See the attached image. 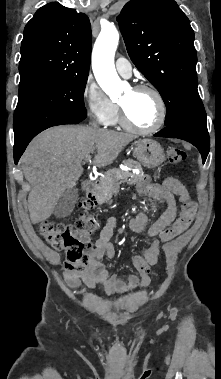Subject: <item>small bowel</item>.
Listing matches in <instances>:
<instances>
[{
	"mask_svg": "<svg viewBox=\"0 0 221 379\" xmlns=\"http://www.w3.org/2000/svg\"><path fill=\"white\" fill-rule=\"evenodd\" d=\"M137 192L145 197L164 200L167 204L165 212L149 226L147 216L144 213L137 214L130 221L131 231H146L151 238L143 254L132 257V263L139 272L140 278L133 274H127L125 277L119 274H111L102 262L104 258L112 259L115 256V249L110 240L117 219L112 216L108 218L95 241V248L88 268L80 274L66 273L64 275L65 281L70 287H77L84 283L89 291H93L97 285H100L108 295H113L131 293L148 285L150 268L157 263L160 253L157 236L174 220L177 213L176 198L183 205L191 202V200L184 185L172 177H167L156 184L151 183L148 178H144L137 184Z\"/></svg>",
	"mask_w": 221,
	"mask_h": 379,
	"instance_id": "1",
	"label": "small bowel"
}]
</instances>
